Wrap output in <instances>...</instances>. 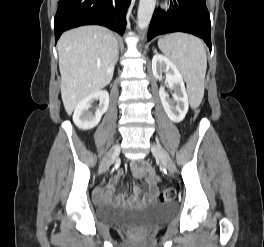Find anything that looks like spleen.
Wrapping results in <instances>:
<instances>
[{"instance_id": "3e777b00", "label": "spleen", "mask_w": 264, "mask_h": 247, "mask_svg": "<svg viewBox=\"0 0 264 247\" xmlns=\"http://www.w3.org/2000/svg\"><path fill=\"white\" fill-rule=\"evenodd\" d=\"M160 50L178 67L187 83L191 101L199 105L204 95L207 56L200 39L185 33H173L159 39Z\"/></svg>"}]
</instances>
